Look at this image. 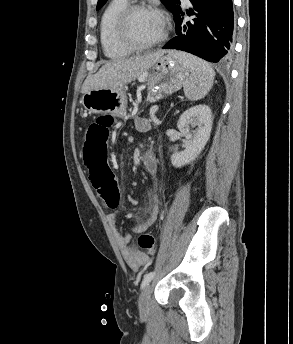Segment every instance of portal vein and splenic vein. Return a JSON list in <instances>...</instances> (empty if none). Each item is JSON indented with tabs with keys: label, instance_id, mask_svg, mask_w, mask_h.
Instances as JSON below:
<instances>
[{
	"label": "portal vein and splenic vein",
	"instance_id": "1",
	"mask_svg": "<svg viewBox=\"0 0 293 344\" xmlns=\"http://www.w3.org/2000/svg\"><path fill=\"white\" fill-rule=\"evenodd\" d=\"M153 121H154V122H158V120H156L155 118H153Z\"/></svg>",
	"mask_w": 293,
	"mask_h": 344
}]
</instances>
